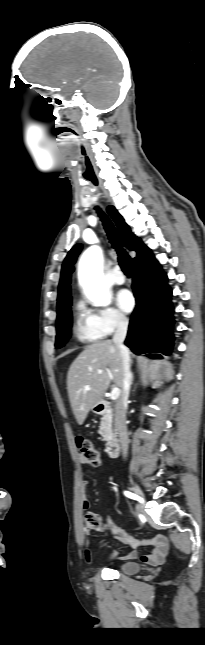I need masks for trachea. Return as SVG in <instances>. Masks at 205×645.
Here are the masks:
<instances>
[{"mask_svg":"<svg viewBox=\"0 0 205 645\" xmlns=\"http://www.w3.org/2000/svg\"><path fill=\"white\" fill-rule=\"evenodd\" d=\"M97 212L99 213V216L103 222V225L108 235V238L110 240V243L112 244V247L116 250L118 254V262L122 271L126 275L130 276L132 274L131 259L127 254V252L125 251V249L122 248L120 240L118 238V234L112 222L100 209H97Z\"/></svg>","mask_w":205,"mask_h":645,"instance_id":"trachea-1","label":"trachea"}]
</instances>
